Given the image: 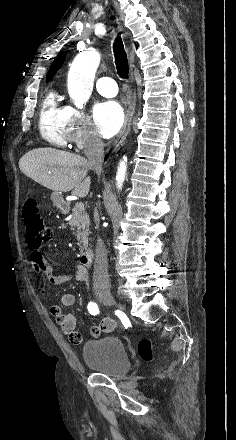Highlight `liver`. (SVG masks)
<instances>
[{
  "label": "liver",
  "instance_id": "obj_1",
  "mask_svg": "<svg viewBox=\"0 0 236 440\" xmlns=\"http://www.w3.org/2000/svg\"><path fill=\"white\" fill-rule=\"evenodd\" d=\"M22 173L42 186L57 192L72 191L85 197L89 193L91 179L88 161L77 154L50 147L27 152L19 160Z\"/></svg>",
  "mask_w": 236,
  "mask_h": 440
}]
</instances>
